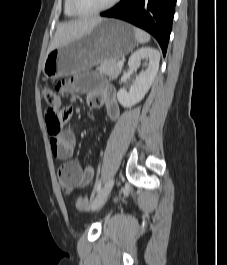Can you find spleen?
<instances>
[{
  "label": "spleen",
  "mask_w": 227,
  "mask_h": 265,
  "mask_svg": "<svg viewBox=\"0 0 227 265\" xmlns=\"http://www.w3.org/2000/svg\"><path fill=\"white\" fill-rule=\"evenodd\" d=\"M134 31H135L136 39L139 43H146L150 40V35L146 33L145 31L137 27L134 28Z\"/></svg>",
  "instance_id": "obj_1"
}]
</instances>
